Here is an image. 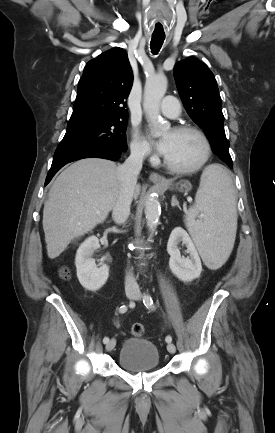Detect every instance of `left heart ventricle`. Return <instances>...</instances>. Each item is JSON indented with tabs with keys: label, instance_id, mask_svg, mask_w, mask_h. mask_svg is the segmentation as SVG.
Masks as SVG:
<instances>
[{
	"label": "left heart ventricle",
	"instance_id": "left-heart-ventricle-1",
	"mask_svg": "<svg viewBox=\"0 0 275 433\" xmlns=\"http://www.w3.org/2000/svg\"><path fill=\"white\" fill-rule=\"evenodd\" d=\"M164 139L169 142L166 159L174 166L187 168L196 165L204 155L201 139L192 133L168 131Z\"/></svg>",
	"mask_w": 275,
	"mask_h": 433
}]
</instances>
